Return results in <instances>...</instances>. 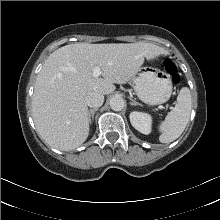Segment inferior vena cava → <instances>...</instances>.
<instances>
[{
    "mask_svg": "<svg viewBox=\"0 0 220 220\" xmlns=\"http://www.w3.org/2000/svg\"><path fill=\"white\" fill-rule=\"evenodd\" d=\"M85 101L89 107L97 108L103 104L104 96L98 91H91L86 95Z\"/></svg>",
    "mask_w": 220,
    "mask_h": 220,
    "instance_id": "obj_1",
    "label": "inferior vena cava"
}]
</instances>
